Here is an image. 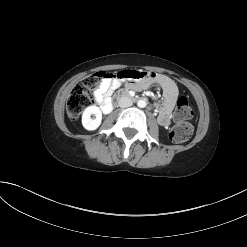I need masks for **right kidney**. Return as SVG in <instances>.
Returning a JSON list of instances; mask_svg holds the SVG:
<instances>
[{
    "label": "right kidney",
    "mask_w": 247,
    "mask_h": 247,
    "mask_svg": "<svg viewBox=\"0 0 247 247\" xmlns=\"http://www.w3.org/2000/svg\"><path fill=\"white\" fill-rule=\"evenodd\" d=\"M91 115L95 118L92 119ZM102 121V112L98 106L92 105L88 106L82 114V125L86 130L92 131L96 130Z\"/></svg>",
    "instance_id": "obj_1"
}]
</instances>
